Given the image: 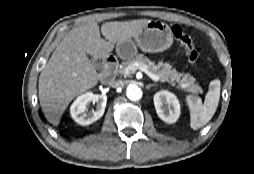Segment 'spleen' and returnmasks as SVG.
Returning a JSON list of instances; mask_svg holds the SVG:
<instances>
[{"mask_svg":"<svg viewBox=\"0 0 254 174\" xmlns=\"http://www.w3.org/2000/svg\"><path fill=\"white\" fill-rule=\"evenodd\" d=\"M220 98V81L215 79L210 82L209 91L202 104L200 97L188 95L185 98L190 111V127L197 130L205 126L213 117Z\"/></svg>","mask_w":254,"mask_h":174,"instance_id":"3e777b00","label":"spleen"}]
</instances>
